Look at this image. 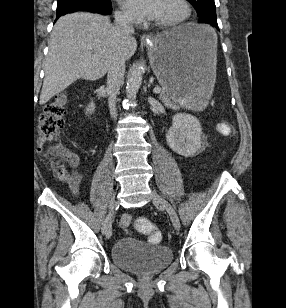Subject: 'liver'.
<instances>
[{"instance_id": "obj_1", "label": "liver", "mask_w": 286, "mask_h": 308, "mask_svg": "<svg viewBox=\"0 0 286 308\" xmlns=\"http://www.w3.org/2000/svg\"><path fill=\"white\" fill-rule=\"evenodd\" d=\"M48 47L40 105L78 79H100L114 59H130L137 42L131 34L114 27L108 17L77 12L58 19ZM94 55L97 59H93Z\"/></svg>"}]
</instances>
